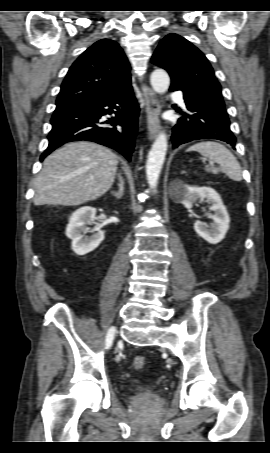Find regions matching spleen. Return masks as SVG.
I'll list each match as a JSON object with an SVG mask.
<instances>
[{
  "instance_id": "1",
  "label": "spleen",
  "mask_w": 270,
  "mask_h": 453,
  "mask_svg": "<svg viewBox=\"0 0 270 453\" xmlns=\"http://www.w3.org/2000/svg\"><path fill=\"white\" fill-rule=\"evenodd\" d=\"M187 151H197L219 165L217 168L206 167L205 170L207 172L213 174L223 172L234 181L242 180V170L239 162L224 145L218 142L205 141L190 146Z\"/></svg>"
}]
</instances>
